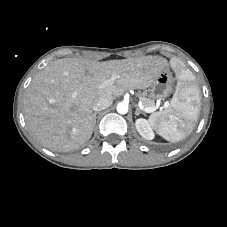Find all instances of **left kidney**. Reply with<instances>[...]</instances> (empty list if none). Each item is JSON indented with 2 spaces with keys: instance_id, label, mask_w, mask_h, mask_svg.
I'll use <instances>...</instances> for the list:
<instances>
[{
  "instance_id": "obj_1",
  "label": "left kidney",
  "mask_w": 227,
  "mask_h": 227,
  "mask_svg": "<svg viewBox=\"0 0 227 227\" xmlns=\"http://www.w3.org/2000/svg\"><path fill=\"white\" fill-rule=\"evenodd\" d=\"M135 126L138 133L147 140H152L154 138V132L148 120L144 118H139L135 121Z\"/></svg>"
}]
</instances>
